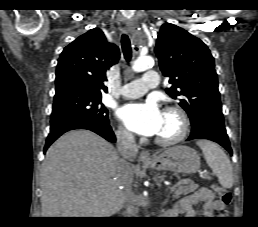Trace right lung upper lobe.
I'll use <instances>...</instances> for the list:
<instances>
[{
  "mask_svg": "<svg viewBox=\"0 0 258 227\" xmlns=\"http://www.w3.org/2000/svg\"><path fill=\"white\" fill-rule=\"evenodd\" d=\"M119 48L98 28L89 30L61 53L55 79L56 94L82 91L102 95L107 70L119 60Z\"/></svg>",
  "mask_w": 258,
  "mask_h": 227,
  "instance_id": "obj_1",
  "label": "right lung upper lobe"
}]
</instances>
